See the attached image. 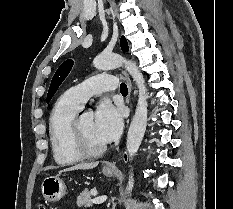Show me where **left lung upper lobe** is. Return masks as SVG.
I'll return each instance as SVG.
<instances>
[{
    "instance_id": "1",
    "label": "left lung upper lobe",
    "mask_w": 233,
    "mask_h": 209,
    "mask_svg": "<svg viewBox=\"0 0 233 209\" xmlns=\"http://www.w3.org/2000/svg\"><path fill=\"white\" fill-rule=\"evenodd\" d=\"M121 49L123 52H127L129 50L128 43H127L125 37L121 38ZM72 66H73V61L69 59V60H66L65 62H63L60 65V67L57 69V71L55 72V74L52 78V81H51V84L49 87V91L47 94V103H49V101L53 97L54 93L59 88L60 84L67 77V75L69 74V72L72 69Z\"/></svg>"
}]
</instances>
